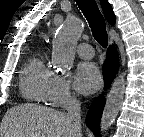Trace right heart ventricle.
<instances>
[{
	"label": "right heart ventricle",
	"instance_id": "right-heart-ventricle-1",
	"mask_svg": "<svg viewBox=\"0 0 144 137\" xmlns=\"http://www.w3.org/2000/svg\"><path fill=\"white\" fill-rule=\"evenodd\" d=\"M55 76L46 65L43 55L33 54L20 74L19 86L22 96L39 104L48 103Z\"/></svg>",
	"mask_w": 144,
	"mask_h": 137
}]
</instances>
